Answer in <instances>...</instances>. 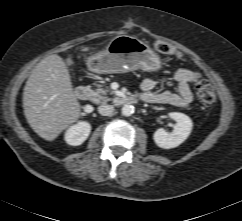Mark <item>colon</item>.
<instances>
[{
    "mask_svg": "<svg viewBox=\"0 0 242 221\" xmlns=\"http://www.w3.org/2000/svg\"><path fill=\"white\" fill-rule=\"evenodd\" d=\"M156 51L164 54L174 55L181 59L182 54L172 45L165 42H156L154 45ZM193 85L198 99L205 105L212 104L216 99L214 87L199 73L194 74Z\"/></svg>",
    "mask_w": 242,
    "mask_h": 221,
    "instance_id": "colon-1",
    "label": "colon"
}]
</instances>
